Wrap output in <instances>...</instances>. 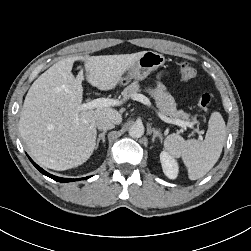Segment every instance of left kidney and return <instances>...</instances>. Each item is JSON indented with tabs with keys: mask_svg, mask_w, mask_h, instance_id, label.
<instances>
[{
	"mask_svg": "<svg viewBox=\"0 0 251 251\" xmlns=\"http://www.w3.org/2000/svg\"><path fill=\"white\" fill-rule=\"evenodd\" d=\"M160 161L164 174L169 179H175L178 175V164L167 152L162 151L160 154Z\"/></svg>",
	"mask_w": 251,
	"mask_h": 251,
	"instance_id": "5707ae66",
	"label": "left kidney"
}]
</instances>
